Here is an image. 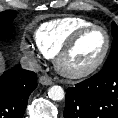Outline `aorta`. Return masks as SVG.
Returning a JSON list of instances; mask_svg holds the SVG:
<instances>
[{
	"instance_id": "aorta-1",
	"label": "aorta",
	"mask_w": 118,
	"mask_h": 118,
	"mask_svg": "<svg viewBox=\"0 0 118 118\" xmlns=\"http://www.w3.org/2000/svg\"><path fill=\"white\" fill-rule=\"evenodd\" d=\"M48 96L50 99H52L54 101H61L64 99L65 93L61 86L54 85L49 88Z\"/></svg>"
}]
</instances>
